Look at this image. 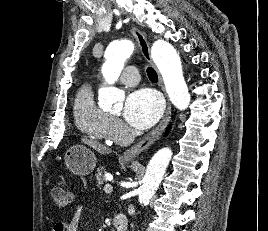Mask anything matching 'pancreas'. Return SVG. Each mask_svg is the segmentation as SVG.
Masks as SVG:
<instances>
[{
	"label": "pancreas",
	"instance_id": "obj_1",
	"mask_svg": "<svg viewBox=\"0 0 268 231\" xmlns=\"http://www.w3.org/2000/svg\"><path fill=\"white\" fill-rule=\"evenodd\" d=\"M104 173H105V169L103 167H99L96 171L95 177H96L98 186L104 184L105 182Z\"/></svg>",
	"mask_w": 268,
	"mask_h": 231
}]
</instances>
